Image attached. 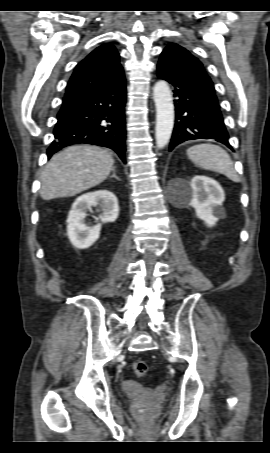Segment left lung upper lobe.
<instances>
[{"instance_id":"left-lung-upper-lobe-1","label":"left lung upper lobe","mask_w":270,"mask_h":453,"mask_svg":"<svg viewBox=\"0 0 270 453\" xmlns=\"http://www.w3.org/2000/svg\"><path fill=\"white\" fill-rule=\"evenodd\" d=\"M171 59L176 63L184 65L189 69L194 70L196 73L203 75L204 77L208 78L210 81V77L205 72L203 64L194 57L188 50L183 48L182 46L170 43L162 52L161 58Z\"/></svg>"}]
</instances>
